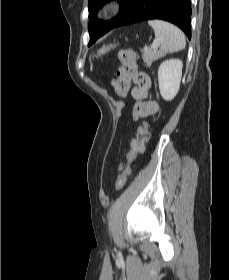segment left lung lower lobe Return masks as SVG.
<instances>
[{
	"label": "left lung lower lobe",
	"instance_id": "0a47b994",
	"mask_svg": "<svg viewBox=\"0 0 229 280\" xmlns=\"http://www.w3.org/2000/svg\"><path fill=\"white\" fill-rule=\"evenodd\" d=\"M191 13V0H134L115 27L144 20L161 19L177 25L190 39Z\"/></svg>",
	"mask_w": 229,
	"mask_h": 280
}]
</instances>
